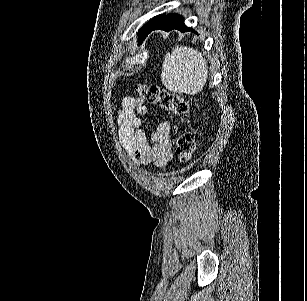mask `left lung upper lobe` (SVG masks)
<instances>
[{
	"label": "left lung upper lobe",
	"mask_w": 307,
	"mask_h": 301,
	"mask_svg": "<svg viewBox=\"0 0 307 301\" xmlns=\"http://www.w3.org/2000/svg\"><path fill=\"white\" fill-rule=\"evenodd\" d=\"M162 15H158L153 17L148 23H146L140 30L138 34L139 44L144 40V38L148 35L151 24L158 19Z\"/></svg>",
	"instance_id": "5c2ea615"
}]
</instances>
